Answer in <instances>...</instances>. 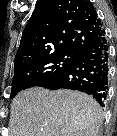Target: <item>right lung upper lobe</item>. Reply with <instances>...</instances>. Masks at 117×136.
<instances>
[{
    "label": "right lung upper lobe",
    "instance_id": "1",
    "mask_svg": "<svg viewBox=\"0 0 117 136\" xmlns=\"http://www.w3.org/2000/svg\"><path fill=\"white\" fill-rule=\"evenodd\" d=\"M101 29L102 23L87 0H37L23 31L14 69L59 52L77 53Z\"/></svg>",
    "mask_w": 117,
    "mask_h": 136
}]
</instances>
